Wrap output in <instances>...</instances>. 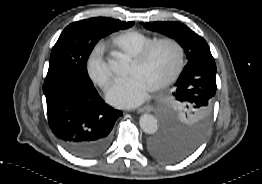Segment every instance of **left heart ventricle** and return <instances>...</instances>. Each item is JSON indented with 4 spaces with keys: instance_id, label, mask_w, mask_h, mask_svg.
I'll return each mask as SVG.
<instances>
[{
    "instance_id": "b2bd125f",
    "label": "left heart ventricle",
    "mask_w": 262,
    "mask_h": 184,
    "mask_svg": "<svg viewBox=\"0 0 262 184\" xmlns=\"http://www.w3.org/2000/svg\"><path fill=\"white\" fill-rule=\"evenodd\" d=\"M178 61L175 46L163 43L157 46L149 58L142 64L131 62L129 76L139 75L152 87L167 78L174 70Z\"/></svg>"
}]
</instances>
